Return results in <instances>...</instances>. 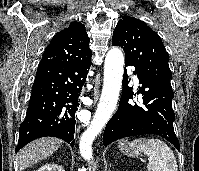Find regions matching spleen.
I'll return each mask as SVG.
<instances>
[{
	"instance_id": "3e777b00",
	"label": "spleen",
	"mask_w": 199,
	"mask_h": 171,
	"mask_svg": "<svg viewBox=\"0 0 199 171\" xmlns=\"http://www.w3.org/2000/svg\"><path fill=\"white\" fill-rule=\"evenodd\" d=\"M131 144L149 157L148 171H177L178 165L174 153L162 140L139 138Z\"/></svg>"
}]
</instances>
